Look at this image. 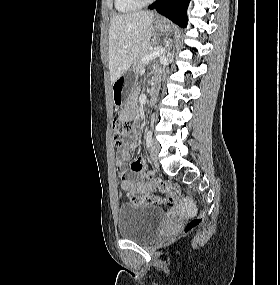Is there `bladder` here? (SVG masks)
Instances as JSON below:
<instances>
[{
    "label": "bladder",
    "mask_w": 280,
    "mask_h": 285,
    "mask_svg": "<svg viewBox=\"0 0 280 285\" xmlns=\"http://www.w3.org/2000/svg\"><path fill=\"white\" fill-rule=\"evenodd\" d=\"M163 219L164 212L159 207L124 203L117 214L118 234L127 240L150 242L158 235Z\"/></svg>",
    "instance_id": "bladder-1"
}]
</instances>
